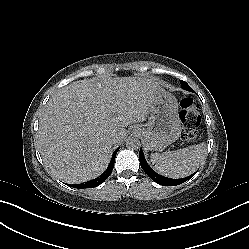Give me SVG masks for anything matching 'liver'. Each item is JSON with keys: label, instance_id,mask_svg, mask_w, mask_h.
Wrapping results in <instances>:
<instances>
[{"label": "liver", "instance_id": "6515ba94", "mask_svg": "<svg viewBox=\"0 0 249 249\" xmlns=\"http://www.w3.org/2000/svg\"><path fill=\"white\" fill-rule=\"evenodd\" d=\"M157 88L150 80L119 78L75 82L58 92L39 123L37 147L44 165L72 173L75 183L102 174L125 127L146 119Z\"/></svg>", "mask_w": 249, "mask_h": 249}]
</instances>
